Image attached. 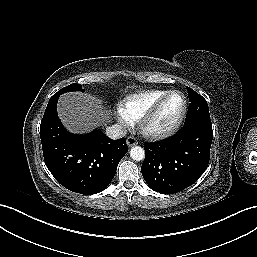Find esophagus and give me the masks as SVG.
<instances>
[{"mask_svg": "<svg viewBox=\"0 0 257 257\" xmlns=\"http://www.w3.org/2000/svg\"><path fill=\"white\" fill-rule=\"evenodd\" d=\"M128 147H132L138 144V141L135 137L129 136L126 140Z\"/></svg>", "mask_w": 257, "mask_h": 257, "instance_id": "esophagus-1", "label": "esophagus"}]
</instances>
